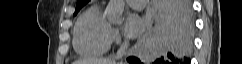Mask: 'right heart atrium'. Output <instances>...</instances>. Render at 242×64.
I'll return each instance as SVG.
<instances>
[{
  "mask_svg": "<svg viewBox=\"0 0 242 64\" xmlns=\"http://www.w3.org/2000/svg\"><path fill=\"white\" fill-rule=\"evenodd\" d=\"M109 39L111 43H120L122 40L121 32L118 28H111L109 32Z\"/></svg>",
  "mask_w": 242,
  "mask_h": 64,
  "instance_id": "1",
  "label": "right heart atrium"
}]
</instances>
